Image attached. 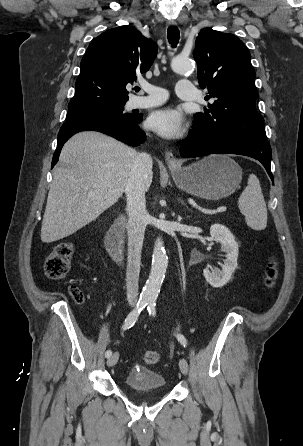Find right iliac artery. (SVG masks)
I'll list each match as a JSON object with an SVG mask.
<instances>
[{"instance_id": "1", "label": "right iliac artery", "mask_w": 303, "mask_h": 446, "mask_svg": "<svg viewBox=\"0 0 303 446\" xmlns=\"http://www.w3.org/2000/svg\"><path fill=\"white\" fill-rule=\"evenodd\" d=\"M148 300L147 299H140L136 305V307L128 314V316L125 319V322L122 326L123 330L131 328L135 322L137 321L140 312L147 306ZM112 355L111 350H107L105 353V357L109 358Z\"/></svg>"}]
</instances>
